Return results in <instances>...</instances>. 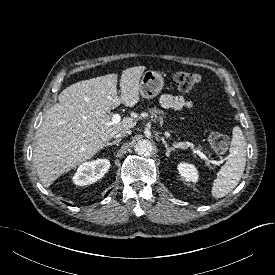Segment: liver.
<instances>
[{"label": "liver", "instance_id": "6515ba94", "mask_svg": "<svg viewBox=\"0 0 275 275\" xmlns=\"http://www.w3.org/2000/svg\"><path fill=\"white\" fill-rule=\"evenodd\" d=\"M145 66L122 72L121 95L115 73L83 80L65 88L36 132L33 162L42 184L49 187L62 174L98 153L118 132L136 125L130 117L112 124L110 111L121 103L139 102V81Z\"/></svg>", "mask_w": 275, "mask_h": 275}]
</instances>
